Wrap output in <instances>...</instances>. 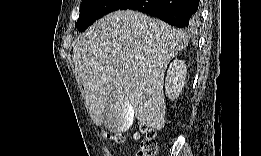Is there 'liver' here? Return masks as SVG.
Here are the masks:
<instances>
[{
	"instance_id": "1",
	"label": "liver",
	"mask_w": 261,
	"mask_h": 156,
	"mask_svg": "<svg viewBox=\"0 0 261 156\" xmlns=\"http://www.w3.org/2000/svg\"><path fill=\"white\" fill-rule=\"evenodd\" d=\"M187 45L182 30L138 11L118 10L95 22L77 38L72 55L92 121L101 126L115 101L122 118L114 132L128 130L134 117L161 130L165 71Z\"/></svg>"
}]
</instances>
